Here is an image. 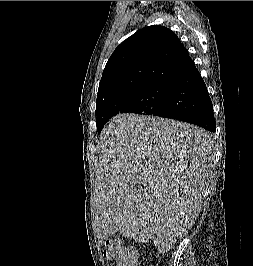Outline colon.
Returning <instances> with one entry per match:
<instances>
[{"label": "colon", "mask_w": 253, "mask_h": 266, "mask_svg": "<svg viewBox=\"0 0 253 266\" xmlns=\"http://www.w3.org/2000/svg\"><path fill=\"white\" fill-rule=\"evenodd\" d=\"M104 253L106 259L115 266H136L135 254L115 239L106 242Z\"/></svg>", "instance_id": "5ec220e1"}]
</instances>
